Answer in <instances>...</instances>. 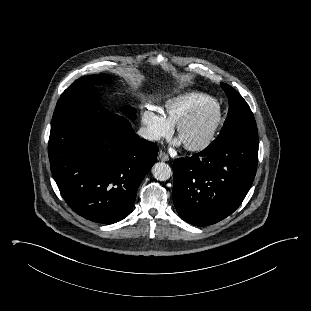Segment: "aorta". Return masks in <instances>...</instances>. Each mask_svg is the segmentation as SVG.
<instances>
[{
    "label": "aorta",
    "mask_w": 311,
    "mask_h": 311,
    "mask_svg": "<svg viewBox=\"0 0 311 311\" xmlns=\"http://www.w3.org/2000/svg\"><path fill=\"white\" fill-rule=\"evenodd\" d=\"M152 174L159 181H166L172 176V169L164 162L156 163L152 168Z\"/></svg>",
    "instance_id": "aorta-1"
}]
</instances>
